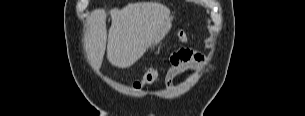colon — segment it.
Instances as JSON below:
<instances>
[{"label": "colon", "mask_w": 305, "mask_h": 116, "mask_svg": "<svg viewBox=\"0 0 305 116\" xmlns=\"http://www.w3.org/2000/svg\"><path fill=\"white\" fill-rule=\"evenodd\" d=\"M177 38L180 43H186L188 41V35L184 30H179L177 33ZM159 75V71L156 68H150L148 69L141 79L135 81L133 83V87L135 90L141 91L145 87L151 85Z\"/></svg>", "instance_id": "obj_1"}]
</instances>
